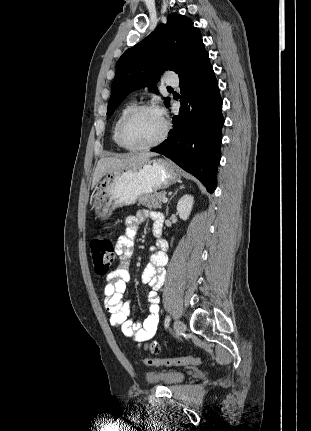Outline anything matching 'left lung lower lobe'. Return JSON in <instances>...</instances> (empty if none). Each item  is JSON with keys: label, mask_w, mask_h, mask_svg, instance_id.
I'll use <instances>...</instances> for the list:
<instances>
[{"label": "left lung lower lobe", "mask_w": 311, "mask_h": 431, "mask_svg": "<svg viewBox=\"0 0 311 431\" xmlns=\"http://www.w3.org/2000/svg\"><path fill=\"white\" fill-rule=\"evenodd\" d=\"M179 78L182 93L179 115L172 118L168 139L151 151L170 158L212 193L221 157L224 118L218 82L207 51L199 53Z\"/></svg>", "instance_id": "left-lung-lower-lobe-1"}]
</instances>
